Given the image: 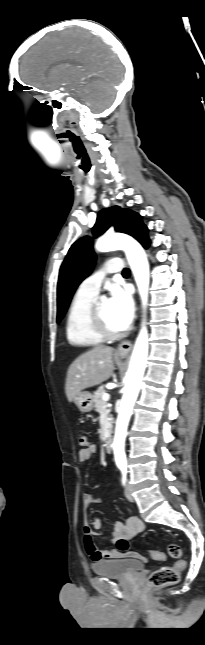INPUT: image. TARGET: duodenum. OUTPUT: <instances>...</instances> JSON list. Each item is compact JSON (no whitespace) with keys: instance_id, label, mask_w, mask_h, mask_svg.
Instances as JSON below:
<instances>
[{"instance_id":"1","label":"duodenum","mask_w":205,"mask_h":645,"mask_svg":"<svg viewBox=\"0 0 205 645\" xmlns=\"http://www.w3.org/2000/svg\"><path fill=\"white\" fill-rule=\"evenodd\" d=\"M105 450L107 453H112L113 451V439L111 436H108L105 440Z\"/></svg>"}]
</instances>
